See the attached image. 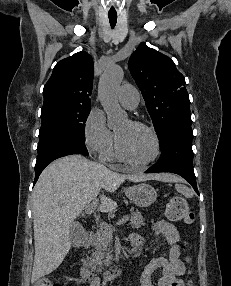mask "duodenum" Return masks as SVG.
Instances as JSON below:
<instances>
[{
	"label": "duodenum",
	"mask_w": 231,
	"mask_h": 286,
	"mask_svg": "<svg viewBox=\"0 0 231 286\" xmlns=\"http://www.w3.org/2000/svg\"><path fill=\"white\" fill-rule=\"evenodd\" d=\"M92 238V234L90 232H86L84 233L75 243V247L81 251L86 249L91 241ZM79 266H80V270H81V276L82 278L86 281V282H92L93 280L96 279L95 274L92 272V270L85 264L83 263L82 260H78L77 261ZM123 267L121 265H116L113 266L112 268L108 269L107 271L104 272L103 277L106 280H112L115 277H117L118 275H120L123 272Z\"/></svg>",
	"instance_id": "duodenum-1"
}]
</instances>
